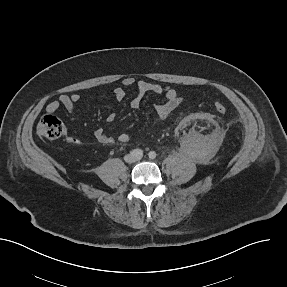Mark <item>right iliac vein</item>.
I'll list each match as a JSON object with an SVG mask.
<instances>
[{
	"mask_svg": "<svg viewBox=\"0 0 287 287\" xmlns=\"http://www.w3.org/2000/svg\"><path fill=\"white\" fill-rule=\"evenodd\" d=\"M125 160L129 163H132L135 161V156L128 154V155H126Z\"/></svg>",
	"mask_w": 287,
	"mask_h": 287,
	"instance_id": "right-iliac-vein-1",
	"label": "right iliac vein"
}]
</instances>
